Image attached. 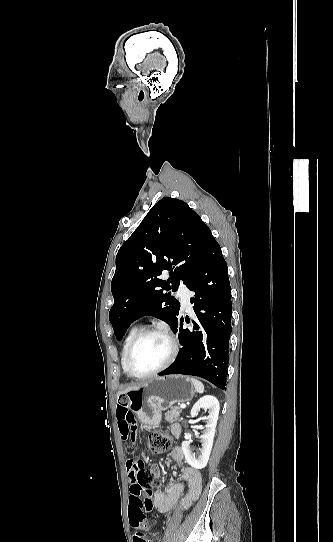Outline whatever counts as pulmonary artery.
Instances as JSON below:
<instances>
[{"instance_id":"1","label":"pulmonary artery","mask_w":333,"mask_h":542,"mask_svg":"<svg viewBox=\"0 0 333 542\" xmlns=\"http://www.w3.org/2000/svg\"><path fill=\"white\" fill-rule=\"evenodd\" d=\"M180 292H176V297L181 299L182 308H186L189 306V298L186 297L189 294V289L187 287H184L182 284L179 286Z\"/></svg>"}]
</instances>
